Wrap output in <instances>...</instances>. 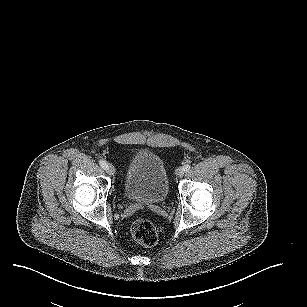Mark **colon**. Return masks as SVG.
<instances>
[{"label": "colon", "mask_w": 307, "mask_h": 307, "mask_svg": "<svg viewBox=\"0 0 307 307\" xmlns=\"http://www.w3.org/2000/svg\"><path fill=\"white\" fill-rule=\"evenodd\" d=\"M131 234L138 243L146 247H152L158 242L156 227L148 219L135 220L131 227Z\"/></svg>", "instance_id": "colon-1"}]
</instances>
